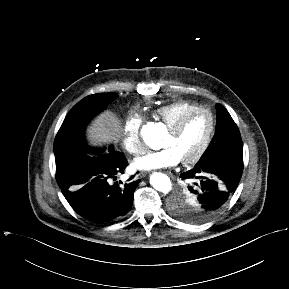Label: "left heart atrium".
Instances as JSON below:
<instances>
[{"label": "left heart atrium", "mask_w": 289, "mask_h": 289, "mask_svg": "<svg viewBox=\"0 0 289 289\" xmlns=\"http://www.w3.org/2000/svg\"><path fill=\"white\" fill-rule=\"evenodd\" d=\"M180 161L181 158L174 149L164 147L136 158L133 165L139 170H155L176 166Z\"/></svg>", "instance_id": "left-heart-atrium-1"}]
</instances>
